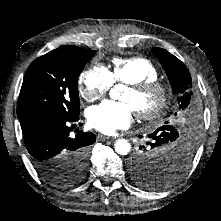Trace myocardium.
<instances>
[{
  "mask_svg": "<svg viewBox=\"0 0 221 221\" xmlns=\"http://www.w3.org/2000/svg\"><path fill=\"white\" fill-rule=\"evenodd\" d=\"M127 88L137 96L156 93L158 103L150 110L135 111L137 117L141 120H155L162 116L168 109L172 93L169 85L160 80H146L136 84H128Z\"/></svg>",
  "mask_w": 221,
  "mask_h": 221,
  "instance_id": "f54148a6",
  "label": "myocardium"
}]
</instances>
